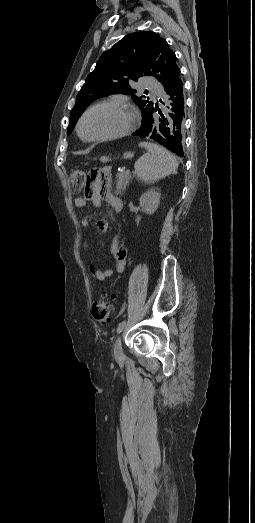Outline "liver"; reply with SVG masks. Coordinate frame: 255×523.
Returning a JSON list of instances; mask_svg holds the SVG:
<instances>
[{"mask_svg":"<svg viewBox=\"0 0 255 523\" xmlns=\"http://www.w3.org/2000/svg\"><path fill=\"white\" fill-rule=\"evenodd\" d=\"M101 160H102V162H103L104 158H101Z\"/></svg>","mask_w":255,"mask_h":523,"instance_id":"1","label":"liver"}]
</instances>
